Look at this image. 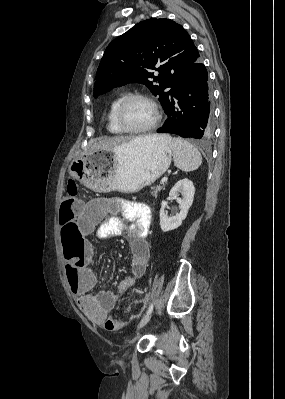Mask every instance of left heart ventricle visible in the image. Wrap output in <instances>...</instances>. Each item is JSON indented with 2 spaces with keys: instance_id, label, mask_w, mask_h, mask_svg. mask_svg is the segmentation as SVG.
<instances>
[{
  "instance_id": "1",
  "label": "left heart ventricle",
  "mask_w": 285,
  "mask_h": 399,
  "mask_svg": "<svg viewBox=\"0 0 285 399\" xmlns=\"http://www.w3.org/2000/svg\"><path fill=\"white\" fill-rule=\"evenodd\" d=\"M155 117L154 108L144 100H135L125 110L124 118L129 127L141 128L150 124Z\"/></svg>"
}]
</instances>
